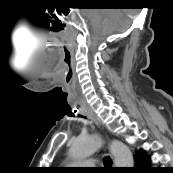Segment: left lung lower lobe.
Here are the masks:
<instances>
[{
  "label": "left lung lower lobe",
  "instance_id": "0a47b994",
  "mask_svg": "<svg viewBox=\"0 0 173 173\" xmlns=\"http://www.w3.org/2000/svg\"><path fill=\"white\" fill-rule=\"evenodd\" d=\"M135 160L137 167L132 168L133 173H143L146 172V170L150 169V159L144 155V152L142 150H138Z\"/></svg>",
  "mask_w": 173,
  "mask_h": 173
}]
</instances>
